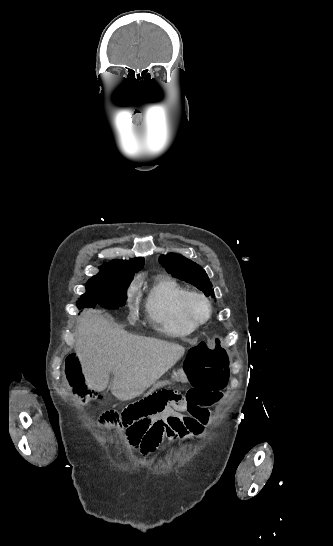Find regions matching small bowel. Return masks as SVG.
<instances>
[{
    "label": "small bowel",
    "mask_w": 333,
    "mask_h": 546,
    "mask_svg": "<svg viewBox=\"0 0 333 546\" xmlns=\"http://www.w3.org/2000/svg\"><path fill=\"white\" fill-rule=\"evenodd\" d=\"M175 380L186 381L189 372L187 370H176L174 372ZM156 387L149 386L147 391L155 393L160 388H168L171 381L168 379H157ZM141 396H146L144 393ZM203 402L187 403L180 405L181 410L188 413L183 415L181 412L168 407L159 412L155 418H147L146 422H135L134 418H129L125 424L126 439L128 446L135 451L141 452L143 456H148L155 451L163 438L171 443H179L193 437H200L205 432V425L209 421V406L219 402L223 394L220 391H209L201 394Z\"/></svg>",
    "instance_id": "obj_1"
}]
</instances>
